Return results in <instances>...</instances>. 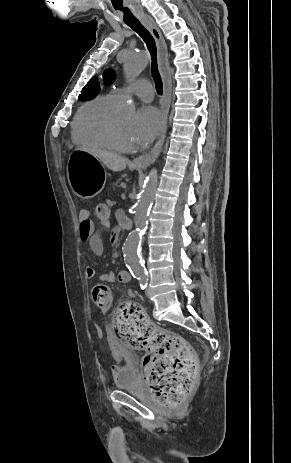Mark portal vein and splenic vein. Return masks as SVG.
<instances>
[{"label": "portal vein and splenic vein", "mask_w": 291, "mask_h": 463, "mask_svg": "<svg viewBox=\"0 0 291 463\" xmlns=\"http://www.w3.org/2000/svg\"><path fill=\"white\" fill-rule=\"evenodd\" d=\"M121 198H125V193H122V194H121Z\"/></svg>", "instance_id": "portal-vein-and-splenic-vein-1"}]
</instances>
